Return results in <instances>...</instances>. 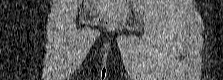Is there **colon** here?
<instances>
[{
    "instance_id": "obj_1",
    "label": "colon",
    "mask_w": 223,
    "mask_h": 80,
    "mask_svg": "<svg viewBox=\"0 0 223 80\" xmlns=\"http://www.w3.org/2000/svg\"><path fill=\"white\" fill-rule=\"evenodd\" d=\"M99 22L104 26H112L114 24V21L108 18H99Z\"/></svg>"
}]
</instances>
